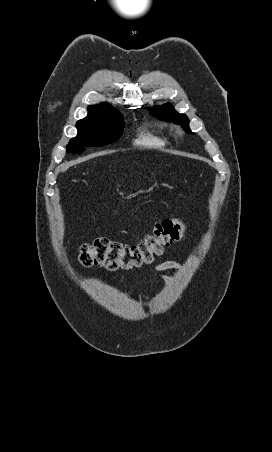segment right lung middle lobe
<instances>
[{"label":"right lung middle lobe","instance_id":"dd1d6c3e","mask_svg":"<svg viewBox=\"0 0 272 452\" xmlns=\"http://www.w3.org/2000/svg\"><path fill=\"white\" fill-rule=\"evenodd\" d=\"M123 126L122 116L114 109L77 122L78 135L69 141L67 152L81 154L86 146H102L114 142L121 135Z\"/></svg>","mask_w":272,"mask_h":452}]
</instances>
